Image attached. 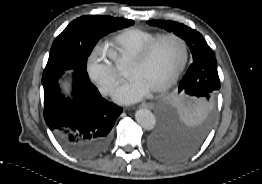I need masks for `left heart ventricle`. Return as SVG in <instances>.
<instances>
[{
    "label": "left heart ventricle",
    "mask_w": 262,
    "mask_h": 184,
    "mask_svg": "<svg viewBox=\"0 0 262 184\" xmlns=\"http://www.w3.org/2000/svg\"><path fill=\"white\" fill-rule=\"evenodd\" d=\"M184 56L181 43L175 39L160 42L148 60L141 65L129 64L127 73L139 78L150 89L165 83L178 69Z\"/></svg>",
    "instance_id": "left-heart-ventricle-1"
}]
</instances>
